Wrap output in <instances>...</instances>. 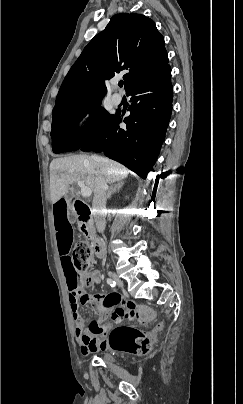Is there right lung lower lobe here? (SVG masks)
<instances>
[{"mask_svg": "<svg viewBox=\"0 0 243 404\" xmlns=\"http://www.w3.org/2000/svg\"><path fill=\"white\" fill-rule=\"evenodd\" d=\"M127 96H132V106L124 119L126 127L119 128L121 112L117 111L103 131L79 150L104 152L145 179L158 157L172 112L170 66L133 85Z\"/></svg>", "mask_w": 243, "mask_h": 404, "instance_id": "right-lung-lower-lobe-1", "label": "right lung lower lobe"}]
</instances>
